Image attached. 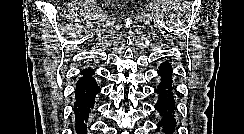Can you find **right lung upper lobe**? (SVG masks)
<instances>
[{
  "label": "right lung upper lobe",
  "mask_w": 244,
  "mask_h": 134,
  "mask_svg": "<svg viewBox=\"0 0 244 134\" xmlns=\"http://www.w3.org/2000/svg\"><path fill=\"white\" fill-rule=\"evenodd\" d=\"M81 74L83 75V76H91V75H93L94 74V71L92 70V69H86V70H83L82 72H81Z\"/></svg>",
  "instance_id": "1"
}]
</instances>
